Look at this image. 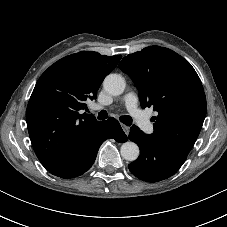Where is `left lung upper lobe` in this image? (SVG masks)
<instances>
[{
	"label": "left lung upper lobe",
	"instance_id": "1",
	"mask_svg": "<svg viewBox=\"0 0 227 227\" xmlns=\"http://www.w3.org/2000/svg\"><path fill=\"white\" fill-rule=\"evenodd\" d=\"M119 67L138 87L141 106L158 113L152 118L151 135L165 147L188 155L207 111L201 80L191 64L168 48L150 46L124 57Z\"/></svg>",
	"mask_w": 227,
	"mask_h": 227
}]
</instances>
